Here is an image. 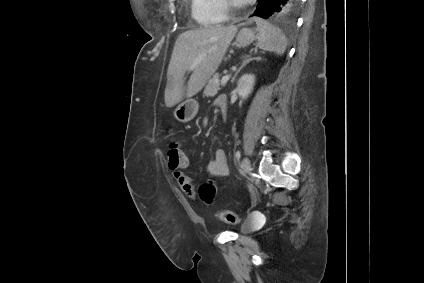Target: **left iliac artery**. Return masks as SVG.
Returning a JSON list of instances; mask_svg holds the SVG:
<instances>
[{"mask_svg":"<svg viewBox=\"0 0 424 283\" xmlns=\"http://www.w3.org/2000/svg\"><path fill=\"white\" fill-rule=\"evenodd\" d=\"M240 157H241V153H240V151L238 150V151L236 152V158L239 160V159H240Z\"/></svg>","mask_w":424,"mask_h":283,"instance_id":"1","label":"left iliac artery"}]
</instances>
